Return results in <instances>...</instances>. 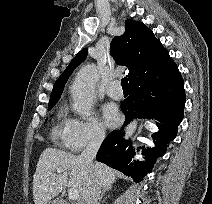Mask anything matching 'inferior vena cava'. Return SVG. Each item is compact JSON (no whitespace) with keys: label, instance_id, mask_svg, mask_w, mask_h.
I'll use <instances>...</instances> for the list:
<instances>
[{"label":"inferior vena cava","instance_id":"obj_1","mask_svg":"<svg viewBox=\"0 0 212 204\" xmlns=\"http://www.w3.org/2000/svg\"><path fill=\"white\" fill-rule=\"evenodd\" d=\"M105 138V133L103 131H96L87 147L81 153V158L89 167L90 170H93V160ZM101 193L100 185L95 180L94 176L91 173V176L88 179L85 193L82 198V204H98V199Z\"/></svg>","mask_w":212,"mask_h":204}]
</instances>
